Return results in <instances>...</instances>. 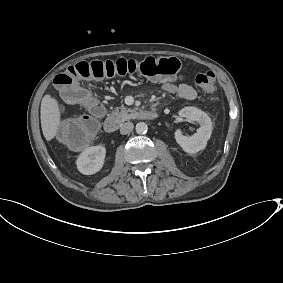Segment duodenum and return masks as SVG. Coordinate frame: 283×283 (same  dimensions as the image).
<instances>
[{"label": "duodenum", "mask_w": 283, "mask_h": 283, "mask_svg": "<svg viewBox=\"0 0 283 283\" xmlns=\"http://www.w3.org/2000/svg\"><path fill=\"white\" fill-rule=\"evenodd\" d=\"M142 120H156L158 118V113L154 111H145L142 112L139 116ZM119 127V122L115 117H108L105 120L104 128L105 131L109 134L117 132Z\"/></svg>", "instance_id": "obj_1"}]
</instances>
